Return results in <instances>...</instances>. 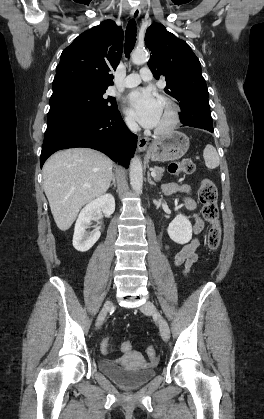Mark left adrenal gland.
I'll return each mask as SVG.
<instances>
[{
  "label": "left adrenal gland",
  "instance_id": "left-adrenal-gland-1",
  "mask_svg": "<svg viewBox=\"0 0 264 419\" xmlns=\"http://www.w3.org/2000/svg\"><path fill=\"white\" fill-rule=\"evenodd\" d=\"M148 182L151 185H156V183L151 179L150 175L148 174Z\"/></svg>",
  "mask_w": 264,
  "mask_h": 419
}]
</instances>
